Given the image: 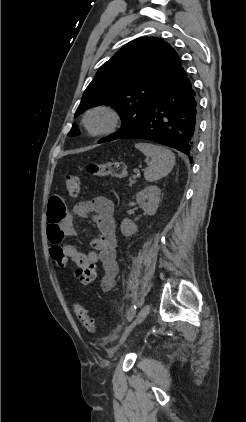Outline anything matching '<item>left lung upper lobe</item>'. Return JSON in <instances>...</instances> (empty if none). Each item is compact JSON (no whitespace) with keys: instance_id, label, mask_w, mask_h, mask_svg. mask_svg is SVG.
Listing matches in <instances>:
<instances>
[{"instance_id":"left-lung-upper-lobe-1","label":"left lung upper lobe","mask_w":246,"mask_h":422,"mask_svg":"<svg viewBox=\"0 0 246 422\" xmlns=\"http://www.w3.org/2000/svg\"><path fill=\"white\" fill-rule=\"evenodd\" d=\"M178 54L156 37H141L124 45L105 62L86 88L75 117L93 106L109 105L122 120L121 128L101 139H116L134 127L164 84L180 68ZM73 124L69 136L79 135Z\"/></svg>"}]
</instances>
